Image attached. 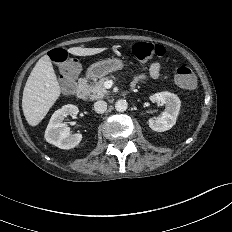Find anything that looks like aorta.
Returning <instances> with one entry per match:
<instances>
[{"mask_svg":"<svg viewBox=\"0 0 232 232\" xmlns=\"http://www.w3.org/2000/svg\"><path fill=\"white\" fill-rule=\"evenodd\" d=\"M128 107V103L126 100H123V99H120L118 100L116 103H115V109L118 111V112H124L126 111Z\"/></svg>","mask_w":232,"mask_h":232,"instance_id":"aorta-1","label":"aorta"}]
</instances>
